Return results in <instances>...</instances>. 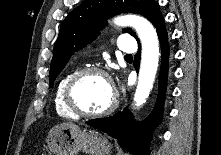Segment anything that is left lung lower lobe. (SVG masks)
Here are the masks:
<instances>
[{"instance_id": "1", "label": "left lung lower lobe", "mask_w": 221, "mask_h": 155, "mask_svg": "<svg viewBox=\"0 0 221 155\" xmlns=\"http://www.w3.org/2000/svg\"><path fill=\"white\" fill-rule=\"evenodd\" d=\"M157 29L162 48V63L159 77V93L152 113L142 122H136L127 108L113 116L89 120L86 123L116 138L119 145L134 155H149V144L153 130L160 124L166 91L168 74V38L165 29V20L156 6L148 17ZM137 41L138 38H136ZM140 51L134 58V66L139 69Z\"/></svg>"}]
</instances>
